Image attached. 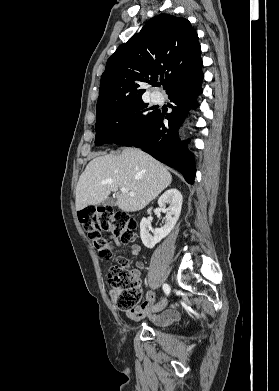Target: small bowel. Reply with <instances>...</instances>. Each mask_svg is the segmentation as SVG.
<instances>
[{"instance_id":"obj_1","label":"small bowel","mask_w":279,"mask_h":391,"mask_svg":"<svg viewBox=\"0 0 279 391\" xmlns=\"http://www.w3.org/2000/svg\"><path fill=\"white\" fill-rule=\"evenodd\" d=\"M140 252V246L134 244L130 247V256H137ZM137 276V274L135 273ZM155 302V295L152 291L146 293L145 301L137 305L134 309L127 311L126 316L133 321H140L146 317H149L155 324L160 326L168 325L179 319L180 313L176 306L172 305L167 310L159 315L151 313V308Z\"/></svg>"}]
</instances>
